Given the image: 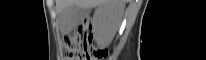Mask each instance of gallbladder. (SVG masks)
I'll return each mask as SVG.
<instances>
[{
  "label": "gallbladder",
  "instance_id": "gallbladder-1",
  "mask_svg": "<svg viewBox=\"0 0 206 60\" xmlns=\"http://www.w3.org/2000/svg\"><path fill=\"white\" fill-rule=\"evenodd\" d=\"M87 12L88 9L76 5L70 6L59 14V24L69 32L86 17Z\"/></svg>",
  "mask_w": 206,
  "mask_h": 60
}]
</instances>
